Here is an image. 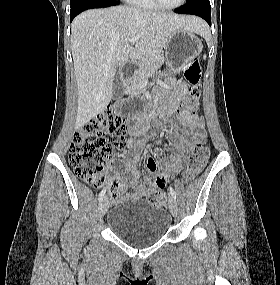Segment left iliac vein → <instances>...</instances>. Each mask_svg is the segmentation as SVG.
Returning a JSON list of instances; mask_svg holds the SVG:
<instances>
[{"label":"left iliac vein","instance_id":"4c4485c4","mask_svg":"<svg viewBox=\"0 0 280 285\" xmlns=\"http://www.w3.org/2000/svg\"><path fill=\"white\" fill-rule=\"evenodd\" d=\"M168 206L171 214L175 217L178 213V206L176 200L173 197L169 198Z\"/></svg>","mask_w":280,"mask_h":285}]
</instances>
